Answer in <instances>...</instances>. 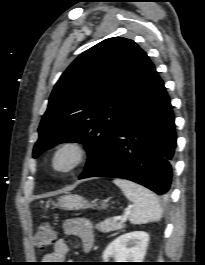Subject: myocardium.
I'll use <instances>...</instances> for the list:
<instances>
[{
  "label": "myocardium",
  "mask_w": 205,
  "mask_h": 265,
  "mask_svg": "<svg viewBox=\"0 0 205 265\" xmlns=\"http://www.w3.org/2000/svg\"><path fill=\"white\" fill-rule=\"evenodd\" d=\"M64 152H70L71 161L63 167L57 165V158ZM89 158L88 147L79 140L69 139L57 144L51 151L48 158L50 170L58 175H68L80 168Z\"/></svg>",
  "instance_id": "myocardium-1"
}]
</instances>
